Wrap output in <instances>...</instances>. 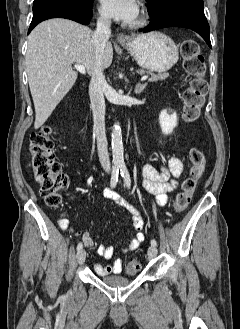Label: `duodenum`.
<instances>
[{
	"label": "duodenum",
	"mask_w": 240,
	"mask_h": 329,
	"mask_svg": "<svg viewBox=\"0 0 240 329\" xmlns=\"http://www.w3.org/2000/svg\"><path fill=\"white\" fill-rule=\"evenodd\" d=\"M78 131L81 135L85 134V129H83L82 127L78 126Z\"/></svg>",
	"instance_id": "obj_1"
}]
</instances>
